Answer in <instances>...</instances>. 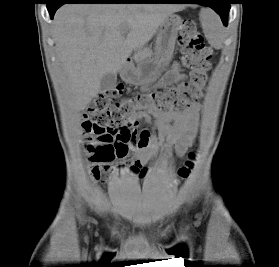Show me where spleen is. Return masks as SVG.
Listing matches in <instances>:
<instances>
[{
    "label": "spleen",
    "instance_id": "obj_1",
    "mask_svg": "<svg viewBox=\"0 0 279 267\" xmlns=\"http://www.w3.org/2000/svg\"><path fill=\"white\" fill-rule=\"evenodd\" d=\"M201 23L204 34L213 47L219 48L223 42L222 25L218 16L210 9H202Z\"/></svg>",
    "mask_w": 279,
    "mask_h": 267
}]
</instances>
